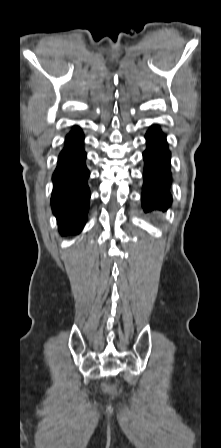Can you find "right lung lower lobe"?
Masks as SVG:
<instances>
[{
	"instance_id": "98d812e1",
	"label": "right lung lower lobe",
	"mask_w": 221,
	"mask_h": 448,
	"mask_svg": "<svg viewBox=\"0 0 221 448\" xmlns=\"http://www.w3.org/2000/svg\"><path fill=\"white\" fill-rule=\"evenodd\" d=\"M83 133L75 126L67 135L53 175L51 204L62 235L77 234L87 219L90 191Z\"/></svg>"
}]
</instances>
